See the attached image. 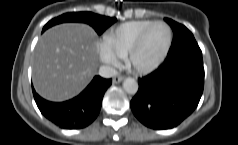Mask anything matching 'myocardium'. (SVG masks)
Masks as SVG:
<instances>
[{"instance_id":"f54148a6","label":"myocardium","mask_w":238,"mask_h":145,"mask_svg":"<svg viewBox=\"0 0 238 145\" xmlns=\"http://www.w3.org/2000/svg\"><path fill=\"white\" fill-rule=\"evenodd\" d=\"M155 25H162V26H165L167 28V30H168V40H167L166 46H165L164 50L162 51V53L159 55V57L154 62H152L151 64L146 65V66H136L132 63V58L135 55V53L142 46L143 41H144L147 33ZM172 40H173V32H172L171 27L164 21H153L151 24H149L146 28H144L142 30V32L138 35V37L136 38L134 43L128 49V51H127V53L124 57L126 66L130 70H132L136 73H139V74H147V73H150V72L154 71L166 59V57H167V55L170 51L171 45H172Z\"/></svg>"}]
</instances>
